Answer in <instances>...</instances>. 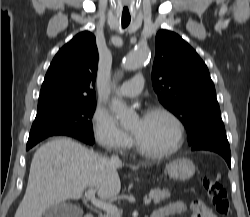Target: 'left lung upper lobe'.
Instances as JSON below:
<instances>
[{
  "label": "left lung upper lobe",
  "mask_w": 250,
  "mask_h": 217,
  "mask_svg": "<svg viewBox=\"0 0 250 217\" xmlns=\"http://www.w3.org/2000/svg\"><path fill=\"white\" fill-rule=\"evenodd\" d=\"M152 84L159 101L184 124L188 141L213 124L223 123L207 66L179 35H156Z\"/></svg>",
  "instance_id": "1"
}]
</instances>
